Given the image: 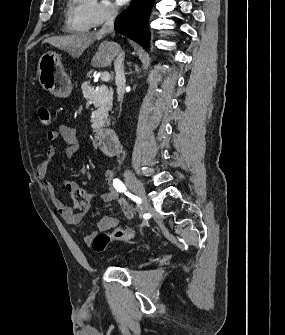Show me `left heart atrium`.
I'll return each instance as SVG.
<instances>
[{
  "instance_id": "1",
  "label": "left heart atrium",
  "mask_w": 285,
  "mask_h": 335,
  "mask_svg": "<svg viewBox=\"0 0 285 335\" xmlns=\"http://www.w3.org/2000/svg\"><path fill=\"white\" fill-rule=\"evenodd\" d=\"M120 5H125L126 3H128L129 1H117Z\"/></svg>"
}]
</instances>
